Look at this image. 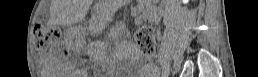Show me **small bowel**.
<instances>
[{
	"instance_id": "obj_1",
	"label": "small bowel",
	"mask_w": 258,
	"mask_h": 77,
	"mask_svg": "<svg viewBox=\"0 0 258 77\" xmlns=\"http://www.w3.org/2000/svg\"><path fill=\"white\" fill-rule=\"evenodd\" d=\"M154 73H155V71H153L151 67H149V66H144L143 67V74H145L147 76H150Z\"/></svg>"
}]
</instances>
